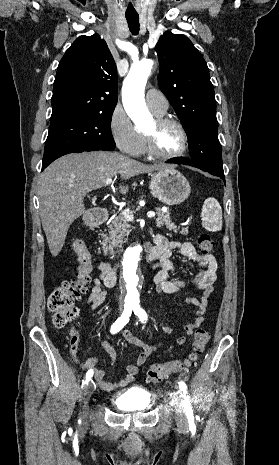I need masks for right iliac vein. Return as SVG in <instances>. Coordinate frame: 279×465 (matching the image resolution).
Listing matches in <instances>:
<instances>
[{
  "instance_id": "63e3f726",
  "label": "right iliac vein",
  "mask_w": 279,
  "mask_h": 465,
  "mask_svg": "<svg viewBox=\"0 0 279 465\" xmlns=\"http://www.w3.org/2000/svg\"><path fill=\"white\" fill-rule=\"evenodd\" d=\"M92 392H93V383H92V381H90L86 385L85 391H84L83 401H84L85 404L89 401V399H90V397L92 395Z\"/></svg>"
}]
</instances>
